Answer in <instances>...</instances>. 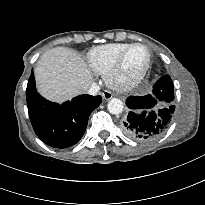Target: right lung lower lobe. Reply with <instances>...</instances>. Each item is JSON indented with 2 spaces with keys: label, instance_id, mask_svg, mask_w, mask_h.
I'll return each mask as SVG.
<instances>
[{
  "label": "right lung lower lobe",
  "instance_id": "obj_1",
  "mask_svg": "<svg viewBox=\"0 0 205 205\" xmlns=\"http://www.w3.org/2000/svg\"><path fill=\"white\" fill-rule=\"evenodd\" d=\"M27 107L31 124L37 136L47 145L67 148L83 136L91 112L102 97L80 95L59 105L41 97L35 88L33 71L26 89Z\"/></svg>",
  "mask_w": 205,
  "mask_h": 205
}]
</instances>
